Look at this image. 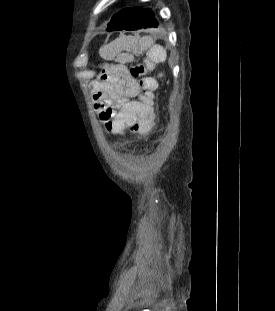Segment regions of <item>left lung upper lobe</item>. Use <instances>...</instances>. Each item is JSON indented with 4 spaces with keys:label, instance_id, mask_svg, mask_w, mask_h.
Instances as JSON below:
<instances>
[{
    "label": "left lung upper lobe",
    "instance_id": "obj_1",
    "mask_svg": "<svg viewBox=\"0 0 275 311\" xmlns=\"http://www.w3.org/2000/svg\"><path fill=\"white\" fill-rule=\"evenodd\" d=\"M141 7L124 8L116 13L111 22L108 24L107 31H120L124 30L128 25L136 20L140 14Z\"/></svg>",
    "mask_w": 275,
    "mask_h": 311
}]
</instances>
